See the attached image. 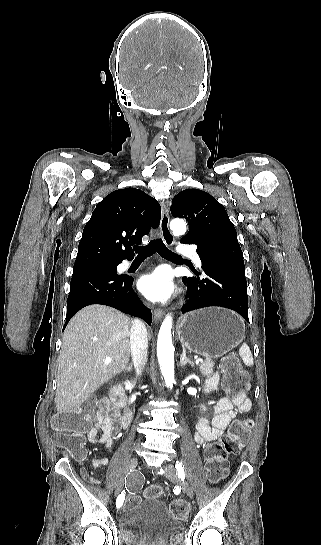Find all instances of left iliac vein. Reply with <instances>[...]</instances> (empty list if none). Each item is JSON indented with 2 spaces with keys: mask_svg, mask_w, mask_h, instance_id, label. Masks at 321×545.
I'll return each mask as SVG.
<instances>
[{
  "mask_svg": "<svg viewBox=\"0 0 321 545\" xmlns=\"http://www.w3.org/2000/svg\"><path fill=\"white\" fill-rule=\"evenodd\" d=\"M164 470H165V476L168 480L172 481V482H177L181 485L183 491L190 497L192 498L193 497V490L191 488V486L188 484L187 481H184V480H180L177 476V472H176V469L174 468V466L172 465H166L164 466Z\"/></svg>",
  "mask_w": 321,
  "mask_h": 545,
  "instance_id": "4c4485c4",
  "label": "left iliac vein"
}]
</instances>
